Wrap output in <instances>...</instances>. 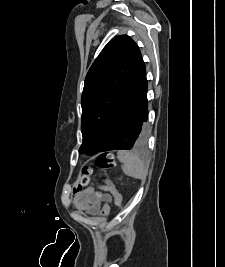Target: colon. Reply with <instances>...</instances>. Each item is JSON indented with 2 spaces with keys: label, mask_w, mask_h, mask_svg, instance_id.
I'll use <instances>...</instances> for the list:
<instances>
[{
  "label": "colon",
  "mask_w": 225,
  "mask_h": 267,
  "mask_svg": "<svg viewBox=\"0 0 225 267\" xmlns=\"http://www.w3.org/2000/svg\"><path fill=\"white\" fill-rule=\"evenodd\" d=\"M94 164L96 167H98L99 169H101L103 171L108 170V169L112 168L115 164L114 154L111 152H103V153L98 155ZM92 172H93V169H92L91 164H87V165L83 166L81 173H80V177H79L77 185H76L77 190L80 191V190L86 189L90 186ZM122 203H123V198H120L118 206H121ZM109 212H110L109 202L105 201L103 203V206H102V209L100 212V216L102 218H107L109 215Z\"/></svg>",
  "instance_id": "1"
}]
</instances>
